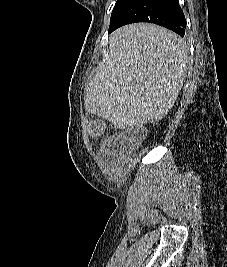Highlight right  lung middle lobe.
<instances>
[{
    "label": "right lung middle lobe",
    "instance_id": "1",
    "mask_svg": "<svg viewBox=\"0 0 227 267\" xmlns=\"http://www.w3.org/2000/svg\"><path fill=\"white\" fill-rule=\"evenodd\" d=\"M127 0H117L114 8H113V11H112V14H111V22L112 20L114 19V17L116 16V14L118 13V11L120 10V8L123 6V4L126 2Z\"/></svg>",
    "mask_w": 227,
    "mask_h": 267
}]
</instances>
